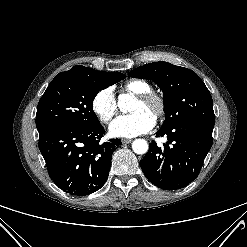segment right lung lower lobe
I'll return each mask as SVG.
<instances>
[{
	"label": "right lung lower lobe",
	"mask_w": 247,
	"mask_h": 247,
	"mask_svg": "<svg viewBox=\"0 0 247 247\" xmlns=\"http://www.w3.org/2000/svg\"><path fill=\"white\" fill-rule=\"evenodd\" d=\"M101 124L91 127L65 126L39 134V149L51 179L65 192L85 196L106 182L111 157L119 139L100 143Z\"/></svg>",
	"instance_id": "1"
}]
</instances>
